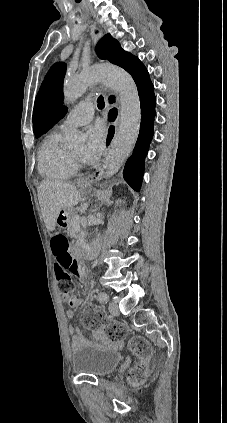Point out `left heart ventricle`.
I'll return each mask as SVG.
<instances>
[{
  "label": "left heart ventricle",
  "mask_w": 227,
  "mask_h": 423,
  "mask_svg": "<svg viewBox=\"0 0 227 423\" xmlns=\"http://www.w3.org/2000/svg\"><path fill=\"white\" fill-rule=\"evenodd\" d=\"M74 154L76 155V156H82V154H83V148H80V149H78V150H76L75 152H74Z\"/></svg>",
  "instance_id": "1"
}]
</instances>
